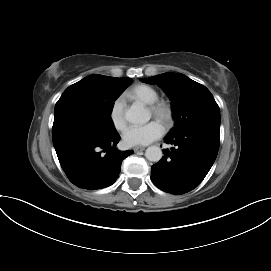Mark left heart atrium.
<instances>
[{"label":"left heart atrium","instance_id":"1","mask_svg":"<svg viewBox=\"0 0 271 271\" xmlns=\"http://www.w3.org/2000/svg\"><path fill=\"white\" fill-rule=\"evenodd\" d=\"M165 129L157 121H151L144 125H131L123 132V141L128 146L147 145L159 139Z\"/></svg>","mask_w":271,"mask_h":271}]
</instances>
